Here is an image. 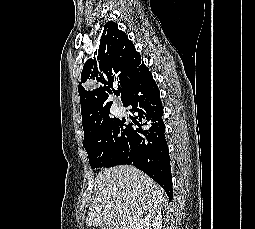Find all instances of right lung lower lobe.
<instances>
[{
	"mask_svg": "<svg viewBox=\"0 0 255 229\" xmlns=\"http://www.w3.org/2000/svg\"><path fill=\"white\" fill-rule=\"evenodd\" d=\"M132 106L134 124H128L133 139V155L120 164H133L155 180L173 198L169 149L162 120L159 89L147 67L132 79L124 106ZM119 164V165H120Z\"/></svg>",
	"mask_w": 255,
	"mask_h": 229,
	"instance_id": "right-lung-lower-lobe-1",
	"label": "right lung lower lobe"
}]
</instances>
